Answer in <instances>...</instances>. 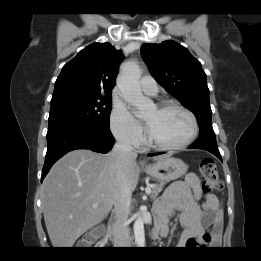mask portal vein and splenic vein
<instances>
[{"label": "portal vein and splenic vein", "instance_id": "1", "mask_svg": "<svg viewBox=\"0 0 261 261\" xmlns=\"http://www.w3.org/2000/svg\"><path fill=\"white\" fill-rule=\"evenodd\" d=\"M146 193L150 194L151 193V188L150 186L146 187V190H145Z\"/></svg>", "mask_w": 261, "mask_h": 261}]
</instances>
